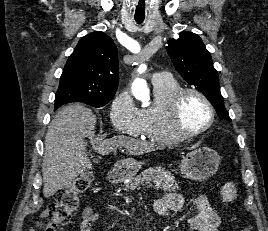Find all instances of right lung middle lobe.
<instances>
[{
	"instance_id": "dd1d6c3e",
	"label": "right lung middle lobe",
	"mask_w": 268,
	"mask_h": 231,
	"mask_svg": "<svg viewBox=\"0 0 268 231\" xmlns=\"http://www.w3.org/2000/svg\"><path fill=\"white\" fill-rule=\"evenodd\" d=\"M112 98L109 99H102V100H93V101H85L83 103H86L88 105H91L93 107H101L106 105ZM61 100V99H60ZM59 100V101H60ZM66 104V103H57L56 99H55V110L60 107L61 105Z\"/></svg>"
}]
</instances>
